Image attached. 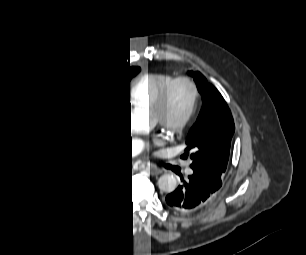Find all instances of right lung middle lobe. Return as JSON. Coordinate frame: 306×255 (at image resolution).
<instances>
[{"label":"right lung middle lobe","mask_w":306,"mask_h":255,"mask_svg":"<svg viewBox=\"0 0 306 255\" xmlns=\"http://www.w3.org/2000/svg\"><path fill=\"white\" fill-rule=\"evenodd\" d=\"M134 71L124 75L125 84ZM114 117L104 112L74 111L67 119L60 138L62 157L60 167L71 172V161L86 160L84 171L73 176L74 180L97 169L105 157L103 138L113 130Z\"/></svg>","instance_id":"obj_1"}]
</instances>
